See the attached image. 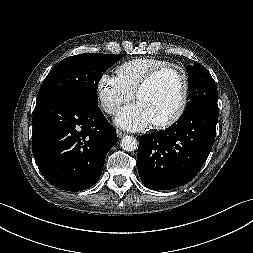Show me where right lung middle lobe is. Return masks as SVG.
I'll return each instance as SVG.
<instances>
[{
  "label": "right lung middle lobe",
  "instance_id": "1",
  "mask_svg": "<svg viewBox=\"0 0 253 253\" xmlns=\"http://www.w3.org/2000/svg\"><path fill=\"white\" fill-rule=\"evenodd\" d=\"M123 55L85 53L59 62L45 78L37 102L49 98L72 101L86 108H97V88L103 72Z\"/></svg>",
  "mask_w": 253,
  "mask_h": 253
}]
</instances>
